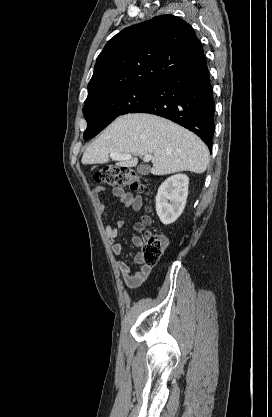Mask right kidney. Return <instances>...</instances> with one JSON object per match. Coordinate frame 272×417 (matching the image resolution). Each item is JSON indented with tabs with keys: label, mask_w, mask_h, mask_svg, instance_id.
I'll use <instances>...</instances> for the list:
<instances>
[{
	"label": "right kidney",
	"mask_w": 272,
	"mask_h": 417,
	"mask_svg": "<svg viewBox=\"0 0 272 417\" xmlns=\"http://www.w3.org/2000/svg\"><path fill=\"white\" fill-rule=\"evenodd\" d=\"M189 178L177 174L166 179L158 189L156 212L164 225H169L182 214L188 196Z\"/></svg>",
	"instance_id": "ca27d5eb"
}]
</instances>
